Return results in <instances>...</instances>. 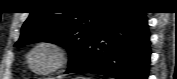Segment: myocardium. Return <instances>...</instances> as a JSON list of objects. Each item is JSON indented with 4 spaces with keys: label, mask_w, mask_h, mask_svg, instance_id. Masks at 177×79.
Masks as SVG:
<instances>
[{
    "label": "myocardium",
    "mask_w": 177,
    "mask_h": 79,
    "mask_svg": "<svg viewBox=\"0 0 177 79\" xmlns=\"http://www.w3.org/2000/svg\"><path fill=\"white\" fill-rule=\"evenodd\" d=\"M43 47L50 48L55 52L56 62L48 70H37L36 68L33 67L31 63V56L36 50H38L39 48H43ZM67 60H68V51L65 48V46L59 42L51 41V40H44V41H40L36 43L27 54V64L29 68L35 73L43 74V75L52 74L60 70L66 64Z\"/></svg>",
    "instance_id": "obj_1"
}]
</instances>
